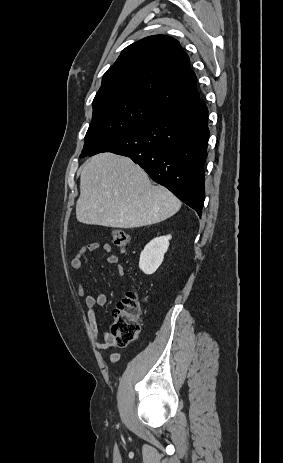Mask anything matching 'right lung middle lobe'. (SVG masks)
Here are the masks:
<instances>
[{
	"label": "right lung middle lobe",
	"instance_id": "obj_1",
	"mask_svg": "<svg viewBox=\"0 0 283 463\" xmlns=\"http://www.w3.org/2000/svg\"><path fill=\"white\" fill-rule=\"evenodd\" d=\"M160 110L145 100L123 92H107L95 96L93 118L80 157L95 152Z\"/></svg>",
	"mask_w": 283,
	"mask_h": 463
}]
</instances>
